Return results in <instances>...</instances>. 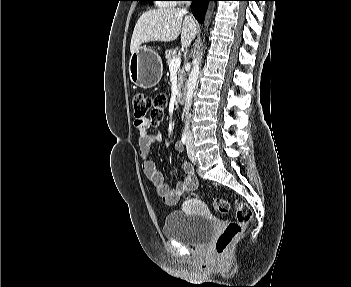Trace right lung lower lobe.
<instances>
[{
	"label": "right lung lower lobe",
	"mask_w": 351,
	"mask_h": 287,
	"mask_svg": "<svg viewBox=\"0 0 351 287\" xmlns=\"http://www.w3.org/2000/svg\"><path fill=\"white\" fill-rule=\"evenodd\" d=\"M192 1L191 10L198 22L202 23L207 9L208 1L212 0H190Z\"/></svg>",
	"instance_id": "right-lung-lower-lobe-1"
}]
</instances>
